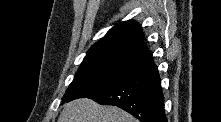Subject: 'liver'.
<instances>
[{"mask_svg":"<svg viewBox=\"0 0 221 122\" xmlns=\"http://www.w3.org/2000/svg\"><path fill=\"white\" fill-rule=\"evenodd\" d=\"M58 122H137V120L115 106H102L88 98L67 103Z\"/></svg>","mask_w":221,"mask_h":122,"instance_id":"liver-1","label":"liver"}]
</instances>
